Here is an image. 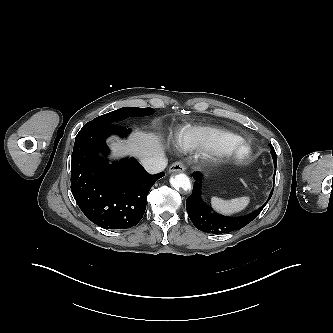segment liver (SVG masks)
<instances>
[{"label": "liver", "instance_id": "6515ba94", "mask_svg": "<svg viewBox=\"0 0 333 333\" xmlns=\"http://www.w3.org/2000/svg\"><path fill=\"white\" fill-rule=\"evenodd\" d=\"M114 157L130 153L142 159L145 157L163 156L164 147L159 136L153 133L136 132L127 142L115 138L109 140Z\"/></svg>", "mask_w": 333, "mask_h": 333}]
</instances>
